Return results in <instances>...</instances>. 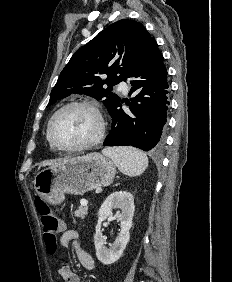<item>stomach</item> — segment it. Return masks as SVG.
I'll use <instances>...</instances> for the list:
<instances>
[{
  "mask_svg": "<svg viewBox=\"0 0 232 282\" xmlns=\"http://www.w3.org/2000/svg\"><path fill=\"white\" fill-rule=\"evenodd\" d=\"M115 174L114 162L99 153H90L43 169L36 174L33 184L44 201L56 205L64 201L65 194L83 195L110 185Z\"/></svg>",
  "mask_w": 232,
  "mask_h": 282,
  "instance_id": "1",
  "label": "stomach"
}]
</instances>
